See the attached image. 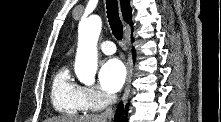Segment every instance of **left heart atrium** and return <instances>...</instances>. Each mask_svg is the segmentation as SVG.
<instances>
[{
    "mask_svg": "<svg viewBox=\"0 0 221 122\" xmlns=\"http://www.w3.org/2000/svg\"><path fill=\"white\" fill-rule=\"evenodd\" d=\"M126 68L117 58L105 60L99 71V83L101 88L107 93L118 92L126 79Z\"/></svg>",
    "mask_w": 221,
    "mask_h": 122,
    "instance_id": "obj_1",
    "label": "left heart atrium"
}]
</instances>
